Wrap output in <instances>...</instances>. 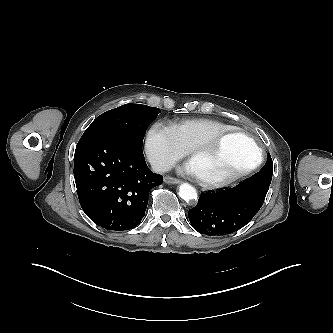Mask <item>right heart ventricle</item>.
Segmentation results:
<instances>
[{"mask_svg":"<svg viewBox=\"0 0 333 333\" xmlns=\"http://www.w3.org/2000/svg\"><path fill=\"white\" fill-rule=\"evenodd\" d=\"M181 145L189 151L194 145L232 126L209 118L185 119L170 127Z\"/></svg>","mask_w":333,"mask_h":333,"instance_id":"e07e8e85","label":"right heart ventricle"}]
</instances>
